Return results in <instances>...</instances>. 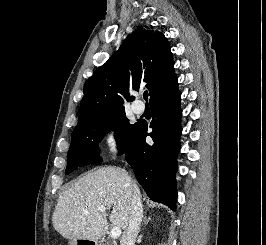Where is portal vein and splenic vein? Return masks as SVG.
Returning <instances> with one entry per match:
<instances>
[{
  "label": "portal vein and splenic vein",
  "mask_w": 266,
  "mask_h": 245,
  "mask_svg": "<svg viewBox=\"0 0 266 245\" xmlns=\"http://www.w3.org/2000/svg\"><path fill=\"white\" fill-rule=\"evenodd\" d=\"M98 211H106V207H104V205H100V207H98ZM83 213H88V209H84ZM122 231L120 229V227H113V229H111V233H110V237L111 239H118V237H120Z\"/></svg>",
  "instance_id": "18ae733b"
}]
</instances>
